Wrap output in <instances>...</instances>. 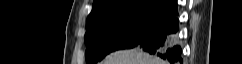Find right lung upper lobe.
Segmentation results:
<instances>
[{
  "instance_id": "right-lung-upper-lobe-1",
  "label": "right lung upper lobe",
  "mask_w": 242,
  "mask_h": 64,
  "mask_svg": "<svg viewBox=\"0 0 242 64\" xmlns=\"http://www.w3.org/2000/svg\"><path fill=\"white\" fill-rule=\"evenodd\" d=\"M176 4V0H94L87 23L108 14L133 10H151L165 14Z\"/></svg>"
}]
</instances>
